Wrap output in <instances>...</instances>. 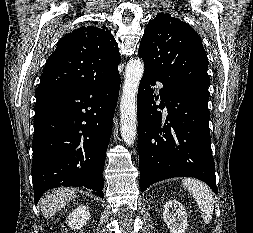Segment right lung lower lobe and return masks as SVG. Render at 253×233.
Instances as JSON below:
<instances>
[{"label": "right lung lower lobe", "instance_id": "right-lung-lower-lobe-1", "mask_svg": "<svg viewBox=\"0 0 253 233\" xmlns=\"http://www.w3.org/2000/svg\"><path fill=\"white\" fill-rule=\"evenodd\" d=\"M120 87L118 71L79 87L37 96L33 136L34 200L60 186L103 197V169Z\"/></svg>", "mask_w": 253, "mask_h": 233}]
</instances>
